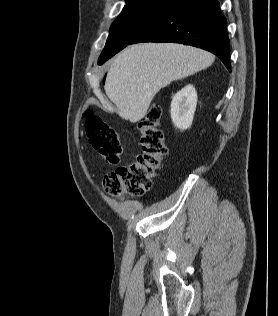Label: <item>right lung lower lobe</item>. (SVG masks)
Segmentation results:
<instances>
[{
    "mask_svg": "<svg viewBox=\"0 0 278 316\" xmlns=\"http://www.w3.org/2000/svg\"><path fill=\"white\" fill-rule=\"evenodd\" d=\"M227 21L217 0H169L158 16L130 44L173 42L214 53L231 71Z\"/></svg>",
    "mask_w": 278,
    "mask_h": 316,
    "instance_id": "right-lung-lower-lobe-1",
    "label": "right lung lower lobe"
}]
</instances>
